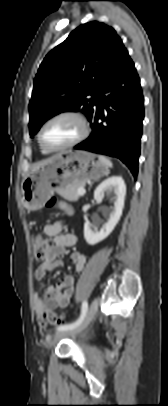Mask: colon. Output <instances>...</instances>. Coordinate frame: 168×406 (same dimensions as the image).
Segmentation results:
<instances>
[{
  "mask_svg": "<svg viewBox=\"0 0 168 406\" xmlns=\"http://www.w3.org/2000/svg\"><path fill=\"white\" fill-rule=\"evenodd\" d=\"M56 200L51 199L48 202V206L51 207L55 204ZM34 258L36 261H46L53 249V243L50 239L44 237L41 234H37L32 239ZM43 318L50 324L60 326L63 324L64 316L62 314L55 313L47 310L43 314Z\"/></svg>",
  "mask_w": 168,
  "mask_h": 406,
  "instance_id": "1",
  "label": "colon"
}]
</instances>
